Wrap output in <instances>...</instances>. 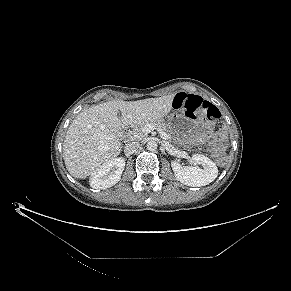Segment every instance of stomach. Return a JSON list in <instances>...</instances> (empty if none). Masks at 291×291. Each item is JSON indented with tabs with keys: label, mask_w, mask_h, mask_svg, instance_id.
<instances>
[{
	"label": "stomach",
	"mask_w": 291,
	"mask_h": 291,
	"mask_svg": "<svg viewBox=\"0 0 291 291\" xmlns=\"http://www.w3.org/2000/svg\"><path fill=\"white\" fill-rule=\"evenodd\" d=\"M169 126L172 130L185 129L188 137L205 140L213 133V123L202 119H191L184 114H172L168 116Z\"/></svg>",
	"instance_id": "stomach-1"
}]
</instances>
